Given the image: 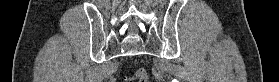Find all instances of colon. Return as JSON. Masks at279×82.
<instances>
[{
	"instance_id": "obj_1",
	"label": "colon",
	"mask_w": 279,
	"mask_h": 82,
	"mask_svg": "<svg viewBox=\"0 0 279 82\" xmlns=\"http://www.w3.org/2000/svg\"><path fill=\"white\" fill-rule=\"evenodd\" d=\"M133 80L135 82H148L149 76H148L147 71L145 69H138L133 76ZM130 82H132V81H130Z\"/></svg>"
}]
</instances>
